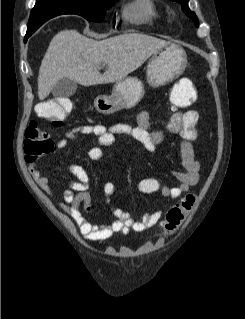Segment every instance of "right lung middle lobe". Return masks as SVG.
<instances>
[{
    "instance_id": "dd1d6c3e",
    "label": "right lung middle lobe",
    "mask_w": 245,
    "mask_h": 319,
    "mask_svg": "<svg viewBox=\"0 0 245 319\" xmlns=\"http://www.w3.org/2000/svg\"><path fill=\"white\" fill-rule=\"evenodd\" d=\"M118 0H70L61 2L64 14H77L87 20L99 22L103 20L106 10ZM36 18L29 20V23L35 24Z\"/></svg>"
}]
</instances>
